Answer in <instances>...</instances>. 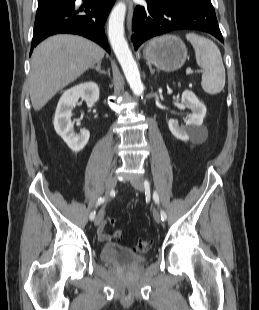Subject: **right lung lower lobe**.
Instances as JSON below:
<instances>
[{
  "label": "right lung lower lobe",
  "instance_id": "obj_1",
  "mask_svg": "<svg viewBox=\"0 0 259 310\" xmlns=\"http://www.w3.org/2000/svg\"><path fill=\"white\" fill-rule=\"evenodd\" d=\"M85 6L77 8L75 0L67 4L37 9L30 55L41 41L58 33H72L87 37L107 52L104 24L115 0H83Z\"/></svg>",
  "mask_w": 259,
  "mask_h": 310
}]
</instances>
